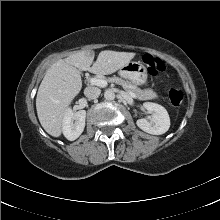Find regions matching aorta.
Listing matches in <instances>:
<instances>
[{"label": "aorta", "mask_w": 220, "mask_h": 220, "mask_svg": "<svg viewBox=\"0 0 220 220\" xmlns=\"http://www.w3.org/2000/svg\"><path fill=\"white\" fill-rule=\"evenodd\" d=\"M104 98L108 101H112L115 99V93L112 90H107L104 93Z\"/></svg>", "instance_id": "762f6f07"}]
</instances>
